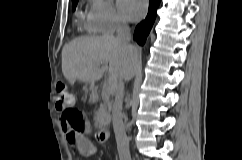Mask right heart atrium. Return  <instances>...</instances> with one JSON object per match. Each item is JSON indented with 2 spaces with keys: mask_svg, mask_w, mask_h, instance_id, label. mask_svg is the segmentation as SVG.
<instances>
[{
  "mask_svg": "<svg viewBox=\"0 0 242 160\" xmlns=\"http://www.w3.org/2000/svg\"><path fill=\"white\" fill-rule=\"evenodd\" d=\"M89 14L93 31L103 35H110L126 26L110 0H91Z\"/></svg>",
  "mask_w": 242,
  "mask_h": 160,
  "instance_id": "obj_1",
  "label": "right heart atrium"
}]
</instances>
